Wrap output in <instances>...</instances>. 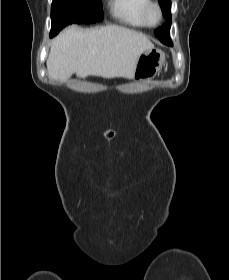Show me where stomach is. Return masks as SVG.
Returning <instances> with one entry per match:
<instances>
[{"label":"stomach","mask_w":229,"mask_h":280,"mask_svg":"<svg viewBox=\"0 0 229 280\" xmlns=\"http://www.w3.org/2000/svg\"><path fill=\"white\" fill-rule=\"evenodd\" d=\"M165 63V53L157 48L143 52L136 63L133 80L142 81L154 78Z\"/></svg>","instance_id":"obj_1"}]
</instances>
